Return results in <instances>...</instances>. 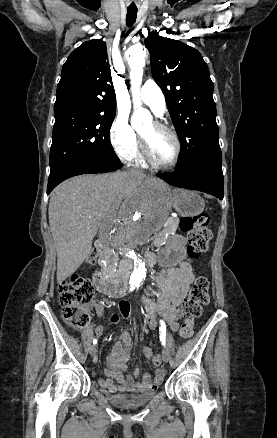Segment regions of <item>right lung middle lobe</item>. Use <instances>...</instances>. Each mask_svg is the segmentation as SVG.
Segmentation results:
<instances>
[{"label":"right lung middle lobe","mask_w":277,"mask_h":438,"mask_svg":"<svg viewBox=\"0 0 277 438\" xmlns=\"http://www.w3.org/2000/svg\"><path fill=\"white\" fill-rule=\"evenodd\" d=\"M115 115L55 116L50 150V175L67 165L92 160H119L110 143Z\"/></svg>","instance_id":"1"}]
</instances>
